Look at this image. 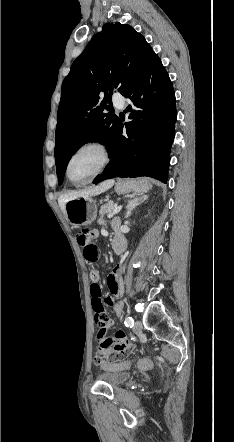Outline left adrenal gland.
Here are the masks:
<instances>
[{"instance_id":"obj_1","label":"left adrenal gland","mask_w":234,"mask_h":442,"mask_svg":"<svg viewBox=\"0 0 234 442\" xmlns=\"http://www.w3.org/2000/svg\"><path fill=\"white\" fill-rule=\"evenodd\" d=\"M148 199L147 195H143L141 197H136L132 200H130L127 204V212L125 215V218H128L131 215V212L133 211L134 208H136V206L140 205L142 202H144L145 200Z\"/></svg>"}]
</instances>
